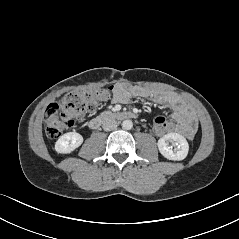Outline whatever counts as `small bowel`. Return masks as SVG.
Wrapping results in <instances>:
<instances>
[{
    "mask_svg": "<svg viewBox=\"0 0 239 239\" xmlns=\"http://www.w3.org/2000/svg\"><path fill=\"white\" fill-rule=\"evenodd\" d=\"M132 97L150 100L172 111V130L188 139L194 137L198 130V119L194 112L175 94L159 89L142 86H117L112 94L111 101L116 104H126ZM168 132V133H170Z\"/></svg>",
    "mask_w": 239,
    "mask_h": 239,
    "instance_id": "c3829d8e",
    "label": "small bowel"
}]
</instances>
